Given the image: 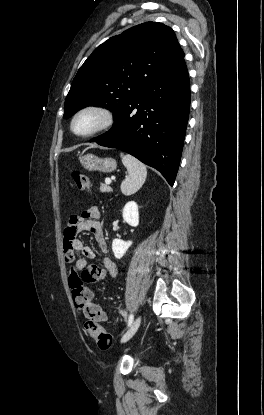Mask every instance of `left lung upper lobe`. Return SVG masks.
Masks as SVG:
<instances>
[{"mask_svg":"<svg viewBox=\"0 0 264 415\" xmlns=\"http://www.w3.org/2000/svg\"><path fill=\"white\" fill-rule=\"evenodd\" d=\"M183 58L174 31L163 23L146 22L111 37L79 68L63 118L91 104L111 108L118 116L142 89Z\"/></svg>","mask_w":264,"mask_h":415,"instance_id":"obj_1","label":"left lung upper lobe"}]
</instances>
